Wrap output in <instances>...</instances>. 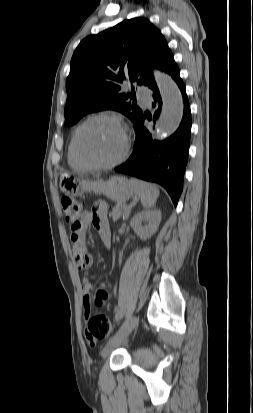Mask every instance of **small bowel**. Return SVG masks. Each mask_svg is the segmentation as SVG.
I'll use <instances>...</instances> for the list:
<instances>
[{"mask_svg":"<svg viewBox=\"0 0 253 413\" xmlns=\"http://www.w3.org/2000/svg\"><path fill=\"white\" fill-rule=\"evenodd\" d=\"M93 225L100 234L106 247L110 246L111 233L104 204L97 203L92 209L84 210L77 225L71 227L73 258L79 271L87 270L92 265V255L87 249L86 232ZM94 285L87 276H82L83 306L86 313L91 310ZM91 346L95 344H91Z\"/></svg>","mask_w":253,"mask_h":413,"instance_id":"obj_1","label":"small bowel"}]
</instances>
